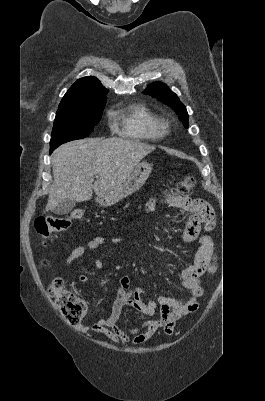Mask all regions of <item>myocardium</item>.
Returning <instances> with one entry per match:
<instances>
[{"label":"myocardium","instance_id":"1","mask_svg":"<svg viewBox=\"0 0 265 401\" xmlns=\"http://www.w3.org/2000/svg\"><path fill=\"white\" fill-rule=\"evenodd\" d=\"M170 132V125L166 121H160L158 124V134L160 136L166 135Z\"/></svg>","mask_w":265,"mask_h":401}]
</instances>
